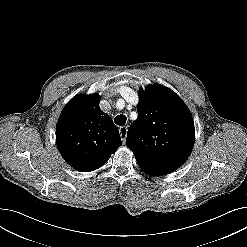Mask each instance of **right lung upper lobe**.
Segmentation results:
<instances>
[{
	"instance_id": "1",
	"label": "right lung upper lobe",
	"mask_w": 247,
	"mask_h": 247,
	"mask_svg": "<svg viewBox=\"0 0 247 247\" xmlns=\"http://www.w3.org/2000/svg\"><path fill=\"white\" fill-rule=\"evenodd\" d=\"M98 94L77 95L64 107L56 144L64 160L79 172L100 168L122 145L118 128L99 107Z\"/></svg>"
}]
</instances>
